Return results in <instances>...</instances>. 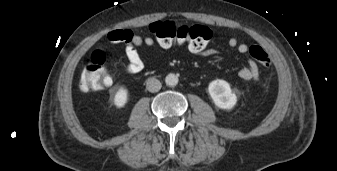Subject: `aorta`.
I'll use <instances>...</instances> for the list:
<instances>
[{"mask_svg": "<svg viewBox=\"0 0 337 171\" xmlns=\"http://www.w3.org/2000/svg\"><path fill=\"white\" fill-rule=\"evenodd\" d=\"M178 81H179L178 76L173 73H170L165 77L166 85L171 87L176 86L178 84Z\"/></svg>", "mask_w": 337, "mask_h": 171, "instance_id": "1", "label": "aorta"}]
</instances>
